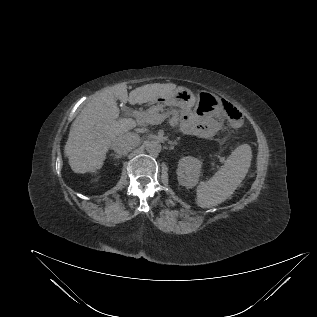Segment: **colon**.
<instances>
[{
	"mask_svg": "<svg viewBox=\"0 0 317 317\" xmlns=\"http://www.w3.org/2000/svg\"><path fill=\"white\" fill-rule=\"evenodd\" d=\"M223 112L226 116L231 120V122L239 126L242 122V115L241 113L230 103L224 102L223 104Z\"/></svg>",
	"mask_w": 317,
	"mask_h": 317,
	"instance_id": "colon-1",
	"label": "colon"
}]
</instances>
